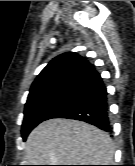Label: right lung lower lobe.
I'll use <instances>...</instances> for the list:
<instances>
[{"label":"right lung lower lobe","mask_w":135,"mask_h":166,"mask_svg":"<svg viewBox=\"0 0 135 166\" xmlns=\"http://www.w3.org/2000/svg\"><path fill=\"white\" fill-rule=\"evenodd\" d=\"M72 98L68 107L55 118L75 119L111 132L107 90L96 71L68 85Z\"/></svg>","instance_id":"obj_1"}]
</instances>
